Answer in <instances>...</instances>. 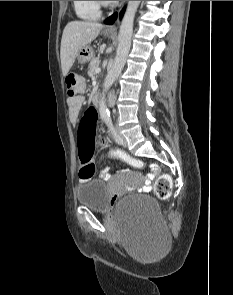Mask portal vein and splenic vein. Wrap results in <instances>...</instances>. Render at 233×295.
I'll list each match as a JSON object with an SVG mask.
<instances>
[{
  "label": "portal vein and splenic vein",
  "instance_id": "1",
  "mask_svg": "<svg viewBox=\"0 0 233 295\" xmlns=\"http://www.w3.org/2000/svg\"><path fill=\"white\" fill-rule=\"evenodd\" d=\"M100 71H101V68L98 67V68L96 69V73H99Z\"/></svg>",
  "mask_w": 233,
  "mask_h": 295
}]
</instances>
